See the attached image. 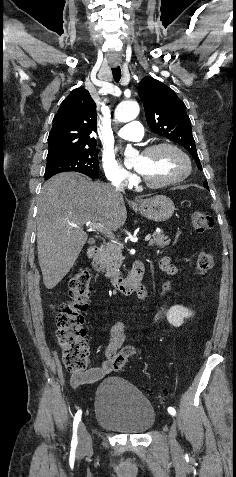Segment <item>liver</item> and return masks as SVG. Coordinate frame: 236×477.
I'll return each instance as SVG.
<instances>
[{"instance_id": "1", "label": "liver", "mask_w": 236, "mask_h": 477, "mask_svg": "<svg viewBox=\"0 0 236 477\" xmlns=\"http://www.w3.org/2000/svg\"><path fill=\"white\" fill-rule=\"evenodd\" d=\"M126 218L123 197L110 185L75 172L45 182L38 200L37 248L46 288H54L75 264L88 239L85 224L101 223L115 231Z\"/></svg>"}]
</instances>
